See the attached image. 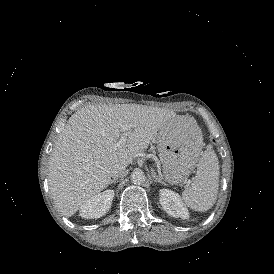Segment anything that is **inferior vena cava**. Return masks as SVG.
Instances as JSON below:
<instances>
[{
	"instance_id": "602c4592",
	"label": "inferior vena cava",
	"mask_w": 274,
	"mask_h": 274,
	"mask_svg": "<svg viewBox=\"0 0 274 274\" xmlns=\"http://www.w3.org/2000/svg\"><path fill=\"white\" fill-rule=\"evenodd\" d=\"M126 170L125 165H117L116 168L113 171L114 178L121 176Z\"/></svg>"
}]
</instances>
